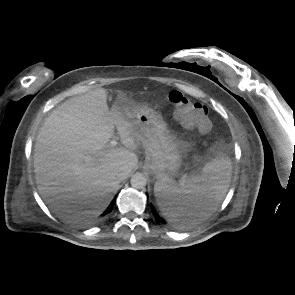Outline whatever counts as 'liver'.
Returning <instances> with one entry per match:
<instances>
[{
  "label": "liver",
  "instance_id": "6515ba94",
  "mask_svg": "<svg viewBox=\"0 0 295 295\" xmlns=\"http://www.w3.org/2000/svg\"><path fill=\"white\" fill-rule=\"evenodd\" d=\"M115 127L122 146L110 148ZM139 141L119 106L109 110L104 88L68 99L37 135L34 172L41 196L54 207H69L72 215L59 213L65 220L99 215L118 189L119 172L128 176L138 164ZM87 156L94 161L85 162Z\"/></svg>",
  "mask_w": 295,
  "mask_h": 295
}]
</instances>
